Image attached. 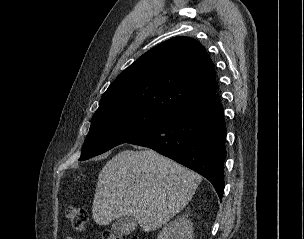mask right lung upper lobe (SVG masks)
<instances>
[{
  "label": "right lung upper lobe",
  "instance_id": "cb5924a9",
  "mask_svg": "<svg viewBox=\"0 0 304 239\" xmlns=\"http://www.w3.org/2000/svg\"><path fill=\"white\" fill-rule=\"evenodd\" d=\"M215 93L214 65L205 48L195 39L175 37L152 48L118 75L95 115L147 108L173 116Z\"/></svg>",
  "mask_w": 304,
  "mask_h": 239
}]
</instances>
